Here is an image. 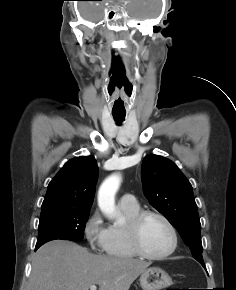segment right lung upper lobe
<instances>
[{
	"label": "right lung upper lobe",
	"instance_id": "obj_1",
	"mask_svg": "<svg viewBox=\"0 0 236 290\" xmlns=\"http://www.w3.org/2000/svg\"><path fill=\"white\" fill-rule=\"evenodd\" d=\"M98 167L92 156L69 160L48 185L42 210H90Z\"/></svg>",
	"mask_w": 236,
	"mask_h": 290
}]
</instances>
